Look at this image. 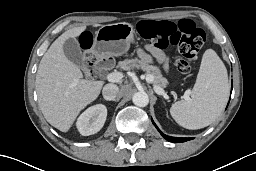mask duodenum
<instances>
[{
    "label": "duodenum",
    "mask_w": 256,
    "mask_h": 171,
    "mask_svg": "<svg viewBox=\"0 0 256 171\" xmlns=\"http://www.w3.org/2000/svg\"><path fill=\"white\" fill-rule=\"evenodd\" d=\"M96 65L99 68L107 69L113 65V61L109 57H102L96 59Z\"/></svg>",
    "instance_id": "1"
}]
</instances>
